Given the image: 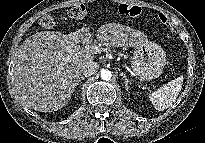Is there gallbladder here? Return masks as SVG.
<instances>
[{
    "mask_svg": "<svg viewBox=\"0 0 205 143\" xmlns=\"http://www.w3.org/2000/svg\"><path fill=\"white\" fill-rule=\"evenodd\" d=\"M86 34H87V32H86V33H83L82 36H84V35H86Z\"/></svg>",
    "mask_w": 205,
    "mask_h": 143,
    "instance_id": "gallbladder-1",
    "label": "gallbladder"
}]
</instances>
